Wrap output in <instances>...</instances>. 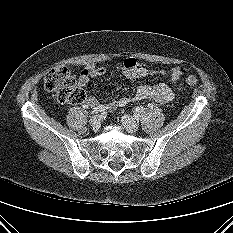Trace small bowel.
Here are the masks:
<instances>
[{"mask_svg":"<svg viewBox=\"0 0 233 233\" xmlns=\"http://www.w3.org/2000/svg\"><path fill=\"white\" fill-rule=\"evenodd\" d=\"M121 73L124 77L130 80H137L148 76H168L172 83L177 84L181 79L183 73L178 66L167 70H153L147 65L136 61L132 57L124 59L121 65ZM107 73V68L97 67L95 65L86 66L78 77V85L82 88L88 85L91 78L103 76ZM174 98V90L166 83H158L155 85H139L133 96H123L113 100L105 105L106 110L113 111L119 107H124L130 102L142 99H150L158 104H165ZM85 105L88 107H95L98 105V100L94 96H88L85 99ZM101 106V105H100ZM104 106V105H103Z\"/></svg>","mask_w":233,"mask_h":233,"instance_id":"c3829d8e","label":"small bowel"}]
</instances>
